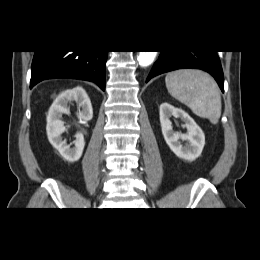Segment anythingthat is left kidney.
<instances>
[{
	"mask_svg": "<svg viewBox=\"0 0 260 260\" xmlns=\"http://www.w3.org/2000/svg\"><path fill=\"white\" fill-rule=\"evenodd\" d=\"M159 114L162 134L173 153L187 161H194L198 158L205 145V135L195 121L185 111L167 102L160 105ZM171 116L180 118L185 123L186 133L173 131ZM181 141H186V145L183 146Z\"/></svg>",
	"mask_w": 260,
	"mask_h": 260,
	"instance_id": "left-kidney-1",
	"label": "left kidney"
}]
</instances>
